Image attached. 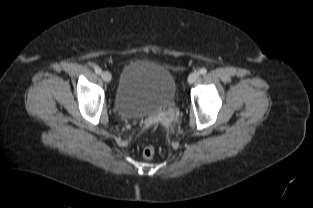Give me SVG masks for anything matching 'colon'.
I'll use <instances>...</instances> for the list:
<instances>
[{
	"mask_svg": "<svg viewBox=\"0 0 313 208\" xmlns=\"http://www.w3.org/2000/svg\"><path fill=\"white\" fill-rule=\"evenodd\" d=\"M156 153V149L152 145H147L142 149V156L145 159H152Z\"/></svg>",
	"mask_w": 313,
	"mask_h": 208,
	"instance_id": "1",
	"label": "colon"
}]
</instances>
